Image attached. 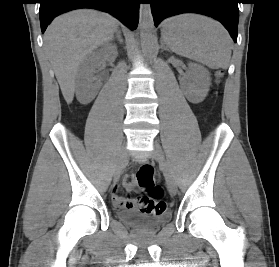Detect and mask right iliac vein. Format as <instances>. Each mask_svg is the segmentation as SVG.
I'll return each mask as SVG.
<instances>
[{
  "instance_id": "right-iliac-vein-1",
  "label": "right iliac vein",
  "mask_w": 279,
  "mask_h": 267,
  "mask_svg": "<svg viewBox=\"0 0 279 267\" xmlns=\"http://www.w3.org/2000/svg\"><path fill=\"white\" fill-rule=\"evenodd\" d=\"M127 150L125 147H123L117 157L115 170H114V182H117L122 174V171L126 165L127 162Z\"/></svg>"
}]
</instances>
